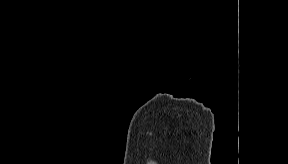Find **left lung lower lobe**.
I'll return each mask as SVG.
<instances>
[{
    "mask_svg": "<svg viewBox=\"0 0 288 164\" xmlns=\"http://www.w3.org/2000/svg\"><path fill=\"white\" fill-rule=\"evenodd\" d=\"M231 75L229 72H205L197 77L199 88V98L203 101L210 100L213 94V88L216 90L227 86L230 82Z\"/></svg>",
    "mask_w": 288,
    "mask_h": 164,
    "instance_id": "0a47b994",
    "label": "left lung lower lobe"
}]
</instances>
